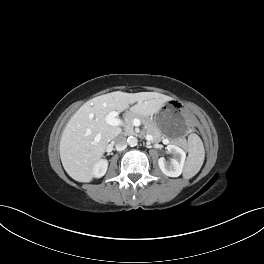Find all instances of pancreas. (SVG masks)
<instances>
[{
  "label": "pancreas",
  "mask_w": 264,
  "mask_h": 264,
  "mask_svg": "<svg viewBox=\"0 0 264 264\" xmlns=\"http://www.w3.org/2000/svg\"><path fill=\"white\" fill-rule=\"evenodd\" d=\"M134 118H138L142 122L145 128L146 134H151L156 141H160L163 139V137L161 136L160 129L154 123H152L150 120L134 112L130 113L128 117L126 118V125H127L126 132L127 133H132L133 131V119Z\"/></svg>",
  "instance_id": "pancreas-1"
}]
</instances>
